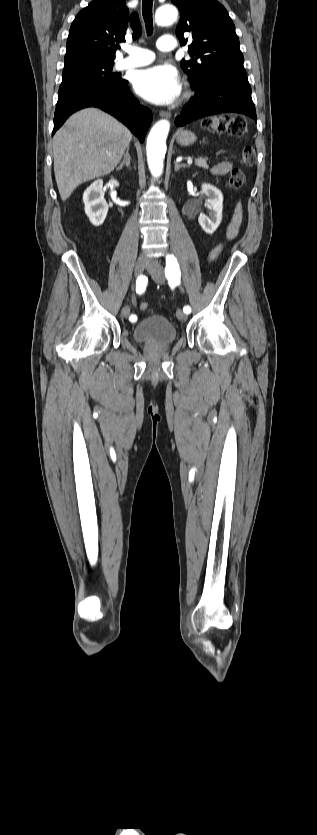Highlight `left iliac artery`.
I'll return each instance as SVG.
<instances>
[{"label": "left iliac artery", "mask_w": 317, "mask_h": 835, "mask_svg": "<svg viewBox=\"0 0 317 835\" xmlns=\"http://www.w3.org/2000/svg\"><path fill=\"white\" fill-rule=\"evenodd\" d=\"M165 276L168 279V282L171 287H175L176 285L180 284V267L176 257L172 254L166 256ZM183 311L186 314H188L191 312V307L189 305H186L183 307Z\"/></svg>", "instance_id": "1"}]
</instances>
